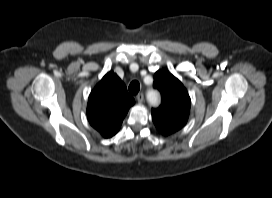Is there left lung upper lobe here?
<instances>
[{
    "instance_id": "left-lung-upper-lobe-1",
    "label": "left lung upper lobe",
    "mask_w": 272,
    "mask_h": 198,
    "mask_svg": "<svg viewBox=\"0 0 272 198\" xmlns=\"http://www.w3.org/2000/svg\"><path fill=\"white\" fill-rule=\"evenodd\" d=\"M154 87L160 91L162 103L152 109V119L161 133L169 135L186 124L191 100L183 84L165 69L155 73Z\"/></svg>"
}]
</instances>
